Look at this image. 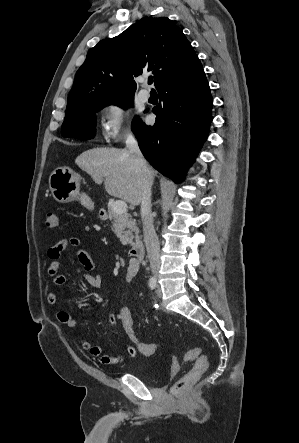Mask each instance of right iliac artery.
I'll return each instance as SVG.
<instances>
[{
    "label": "right iliac artery",
    "instance_id": "right-iliac-artery-1",
    "mask_svg": "<svg viewBox=\"0 0 299 443\" xmlns=\"http://www.w3.org/2000/svg\"><path fill=\"white\" fill-rule=\"evenodd\" d=\"M156 286H157L156 279L154 277H151L149 279V287L153 290L156 288Z\"/></svg>",
    "mask_w": 299,
    "mask_h": 443
}]
</instances>
